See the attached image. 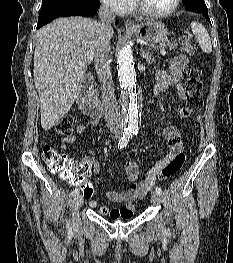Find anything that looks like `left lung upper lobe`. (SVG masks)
<instances>
[{
    "label": "left lung upper lobe",
    "mask_w": 233,
    "mask_h": 263,
    "mask_svg": "<svg viewBox=\"0 0 233 263\" xmlns=\"http://www.w3.org/2000/svg\"><path fill=\"white\" fill-rule=\"evenodd\" d=\"M183 2L189 11L200 13L207 11L204 0H183Z\"/></svg>",
    "instance_id": "left-lung-upper-lobe-1"
}]
</instances>
